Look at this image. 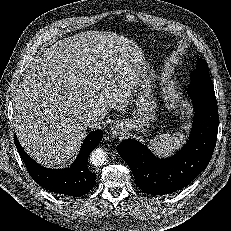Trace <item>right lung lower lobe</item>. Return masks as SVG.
Returning a JSON list of instances; mask_svg holds the SVG:
<instances>
[{"label":"right lung lower lobe","mask_w":231,"mask_h":231,"mask_svg":"<svg viewBox=\"0 0 231 231\" xmlns=\"http://www.w3.org/2000/svg\"><path fill=\"white\" fill-rule=\"evenodd\" d=\"M103 137L102 130L90 132L80 149L78 157L70 168L48 169L36 163L21 147L16 135L15 145L34 181L43 188L68 196L79 197L89 192L96 180V174L87 166V159Z\"/></svg>","instance_id":"98d812e1"}]
</instances>
